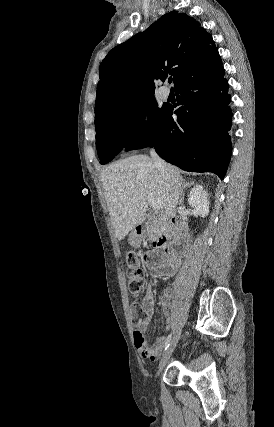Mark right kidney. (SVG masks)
I'll return each mask as SVG.
<instances>
[{"label": "right kidney", "mask_w": 274, "mask_h": 427, "mask_svg": "<svg viewBox=\"0 0 274 427\" xmlns=\"http://www.w3.org/2000/svg\"><path fill=\"white\" fill-rule=\"evenodd\" d=\"M208 194L205 192L202 186H194L193 190L190 192L188 204L191 208H194L196 214L205 217L209 214V200L207 198Z\"/></svg>", "instance_id": "ca27d5eb"}]
</instances>
